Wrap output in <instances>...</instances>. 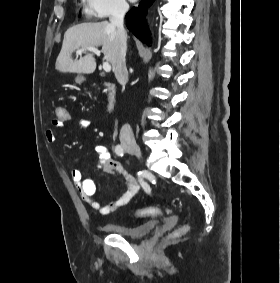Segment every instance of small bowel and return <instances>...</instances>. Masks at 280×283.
<instances>
[{
  "label": "small bowel",
  "instance_id": "obj_1",
  "mask_svg": "<svg viewBox=\"0 0 280 283\" xmlns=\"http://www.w3.org/2000/svg\"><path fill=\"white\" fill-rule=\"evenodd\" d=\"M64 124L65 122H58L57 119H54L53 127L48 128L45 132V138L48 143H54L56 141L57 129L62 128ZM89 125L90 122L88 119H78V127L80 129H86ZM95 152L98 156V162L94 167V170H102L107 173L122 176L126 184V190L122 193V195L102 206L94 198L96 185L92 178L85 177L80 169H72L70 173L71 180L79 191L83 201H85L92 210L98 212L101 216H107L128 204L139 192L140 186L137 179L132 174L128 173L118 161L111 158L108 147L105 144H97L95 146Z\"/></svg>",
  "mask_w": 280,
  "mask_h": 283
}]
</instances>
